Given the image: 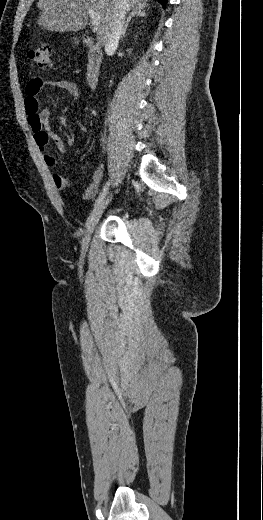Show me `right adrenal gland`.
Wrapping results in <instances>:
<instances>
[{"label":"right adrenal gland","instance_id":"right-adrenal-gland-1","mask_svg":"<svg viewBox=\"0 0 263 520\" xmlns=\"http://www.w3.org/2000/svg\"><path fill=\"white\" fill-rule=\"evenodd\" d=\"M146 16H147V13H146L145 7L141 8V9L132 10L130 15H129V17L127 18V21L125 23L124 28H123L122 35H121V40L126 36L127 28L129 26L130 21L133 18H135V17H146Z\"/></svg>","mask_w":263,"mask_h":520}]
</instances>
